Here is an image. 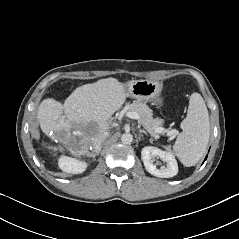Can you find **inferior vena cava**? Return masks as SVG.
I'll return each instance as SVG.
<instances>
[{"label": "inferior vena cava", "mask_w": 239, "mask_h": 239, "mask_svg": "<svg viewBox=\"0 0 239 239\" xmlns=\"http://www.w3.org/2000/svg\"><path fill=\"white\" fill-rule=\"evenodd\" d=\"M108 135H109L108 132H104L97 137V139L95 140V146L97 149L99 150L101 149L102 145L108 138Z\"/></svg>", "instance_id": "602c4592"}]
</instances>
